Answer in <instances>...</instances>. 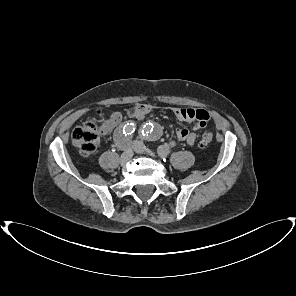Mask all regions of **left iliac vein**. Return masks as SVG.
Instances as JSON below:
<instances>
[{"instance_id":"left-iliac-vein-1","label":"left iliac vein","mask_w":296,"mask_h":296,"mask_svg":"<svg viewBox=\"0 0 296 296\" xmlns=\"http://www.w3.org/2000/svg\"><path fill=\"white\" fill-rule=\"evenodd\" d=\"M133 149L135 150L136 153H144L146 148L144 146V144L140 141H134L133 142Z\"/></svg>"}]
</instances>
